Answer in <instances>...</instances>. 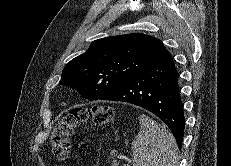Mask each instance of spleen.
Segmentation results:
<instances>
[{"label":"spleen","instance_id":"1","mask_svg":"<svg viewBox=\"0 0 231 166\" xmlns=\"http://www.w3.org/2000/svg\"><path fill=\"white\" fill-rule=\"evenodd\" d=\"M141 130L131 144L133 166H179V151L169 129L140 115Z\"/></svg>","mask_w":231,"mask_h":166}]
</instances>
